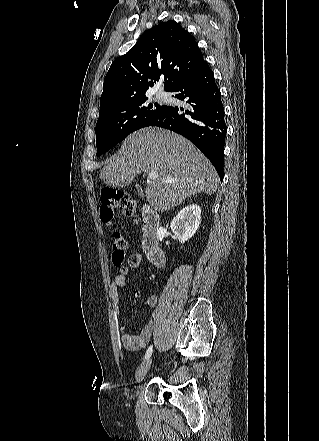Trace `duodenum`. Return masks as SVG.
<instances>
[{
	"instance_id": "duodenum-1",
	"label": "duodenum",
	"mask_w": 319,
	"mask_h": 441,
	"mask_svg": "<svg viewBox=\"0 0 319 441\" xmlns=\"http://www.w3.org/2000/svg\"><path fill=\"white\" fill-rule=\"evenodd\" d=\"M143 249L148 260L155 266L165 264V253L159 243L160 217L149 205L142 206Z\"/></svg>"
}]
</instances>
